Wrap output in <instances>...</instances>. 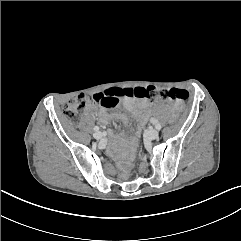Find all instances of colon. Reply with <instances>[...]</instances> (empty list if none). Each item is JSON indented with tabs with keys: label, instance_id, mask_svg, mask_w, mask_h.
Listing matches in <instances>:
<instances>
[{
	"label": "colon",
	"instance_id": "obj_1",
	"mask_svg": "<svg viewBox=\"0 0 241 241\" xmlns=\"http://www.w3.org/2000/svg\"><path fill=\"white\" fill-rule=\"evenodd\" d=\"M126 97L145 98L150 100L162 99L175 102H182L188 98V92L177 88H165L157 86L136 87V88H120L109 87L101 88L97 94L92 96L79 95L69 101L63 110L65 118L71 123L76 124L80 112L86 108L94 105H103L108 107H114L117 105L120 99ZM179 120V116L176 111L168 116V124L170 126L175 125Z\"/></svg>",
	"mask_w": 241,
	"mask_h": 241
}]
</instances>
